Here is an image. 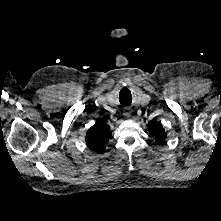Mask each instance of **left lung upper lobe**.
Returning a JSON list of instances; mask_svg holds the SVG:
<instances>
[{
	"label": "left lung upper lobe",
	"mask_w": 221,
	"mask_h": 221,
	"mask_svg": "<svg viewBox=\"0 0 221 221\" xmlns=\"http://www.w3.org/2000/svg\"><path fill=\"white\" fill-rule=\"evenodd\" d=\"M148 128L151 133L156 137L158 142L164 141L167 133L164 131L163 126L160 122H157L156 119H153L149 122Z\"/></svg>",
	"instance_id": "obj_1"
}]
</instances>
